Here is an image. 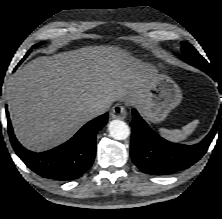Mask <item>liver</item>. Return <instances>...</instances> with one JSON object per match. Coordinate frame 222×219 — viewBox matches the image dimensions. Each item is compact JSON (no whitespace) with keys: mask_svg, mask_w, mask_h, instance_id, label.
I'll use <instances>...</instances> for the list:
<instances>
[{"mask_svg":"<svg viewBox=\"0 0 222 219\" xmlns=\"http://www.w3.org/2000/svg\"><path fill=\"white\" fill-rule=\"evenodd\" d=\"M154 67L114 46H87L41 56L8 83L15 134L27 149L44 151L72 137L94 118L95 105L141 102Z\"/></svg>","mask_w":222,"mask_h":219,"instance_id":"6515ba94","label":"liver"}]
</instances>
